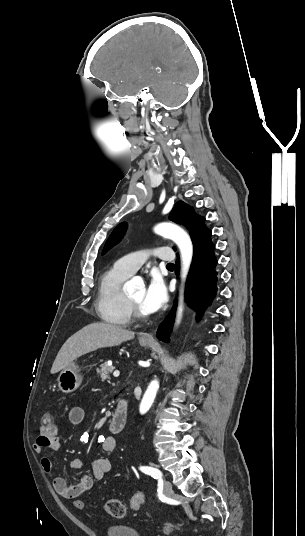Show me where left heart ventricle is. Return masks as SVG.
<instances>
[{"mask_svg":"<svg viewBox=\"0 0 305 536\" xmlns=\"http://www.w3.org/2000/svg\"><path fill=\"white\" fill-rule=\"evenodd\" d=\"M130 299L136 304L138 305L143 311H145L142 306H141V303H142V299H143V296H144V289L143 287H140V288H137L135 290H133L132 292H130L129 294H127ZM146 312V311H145Z\"/></svg>","mask_w":305,"mask_h":536,"instance_id":"left-heart-ventricle-1","label":"left heart ventricle"}]
</instances>
